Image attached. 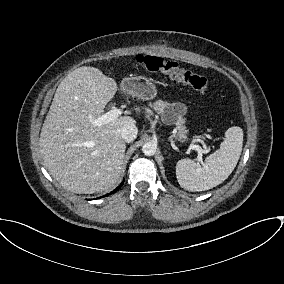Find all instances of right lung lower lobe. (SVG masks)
Instances as JSON below:
<instances>
[{
  "mask_svg": "<svg viewBox=\"0 0 284 284\" xmlns=\"http://www.w3.org/2000/svg\"><path fill=\"white\" fill-rule=\"evenodd\" d=\"M123 183H124V181L121 183V185L119 187H117L115 190H113L110 194L115 193L123 185ZM105 196H103V197H105Z\"/></svg>",
  "mask_w": 284,
  "mask_h": 284,
  "instance_id": "98d812e1",
  "label": "right lung lower lobe"
}]
</instances>
